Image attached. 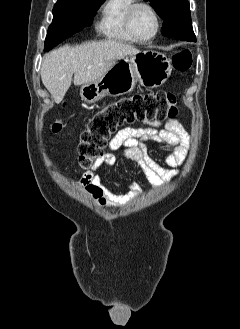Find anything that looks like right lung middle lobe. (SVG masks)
Instances as JSON below:
<instances>
[{"label":"right lung middle lobe","instance_id":"dd1d6c3e","mask_svg":"<svg viewBox=\"0 0 240 329\" xmlns=\"http://www.w3.org/2000/svg\"><path fill=\"white\" fill-rule=\"evenodd\" d=\"M105 0H73L57 2L53 8V21L45 39L49 51L66 38L89 26L99 5Z\"/></svg>","mask_w":240,"mask_h":329}]
</instances>
